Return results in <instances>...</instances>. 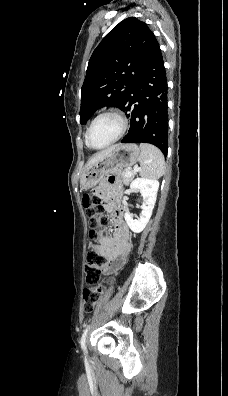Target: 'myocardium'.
<instances>
[{
	"mask_svg": "<svg viewBox=\"0 0 228 396\" xmlns=\"http://www.w3.org/2000/svg\"><path fill=\"white\" fill-rule=\"evenodd\" d=\"M105 116H113V117H115V118L119 121V123H120V130H119V133L117 134V136H116L113 140H111V141H110L109 143H107L106 145L101 146V147H94V146L90 143V133H91V130H92L94 124H95L100 118L105 117ZM128 127H129L128 120H127L126 116H125L120 110H118V109H108V110H105V111L99 113V114L91 121V123H90V125H89V127H88V129H87V131H86V135H85L86 144H87V146H88L89 148L94 149V150L105 149V148H107V147L113 145V144L116 143L117 141H119V140L125 135L126 131L128 130Z\"/></svg>",
	"mask_w": 228,
	"mask_h": 396,
	"instance_id": "myocardium-1",
	"label": "myocardium"
}]
</instances>
